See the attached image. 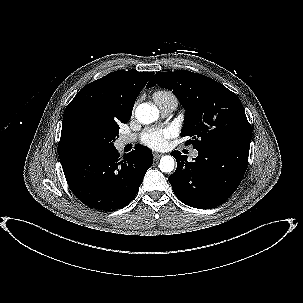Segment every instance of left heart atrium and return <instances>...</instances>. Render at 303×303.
I'll use <instances>...</instances> for the list:
<instances>
[{"label":"left heart atrium","instance_id":"obj_1","mask_svg":"<svg viewBox=\"0 0 303 303\" xmlns=\"http://www.w3.org/2000/svg\"><path fill=\"white\" fill-rule=\"evenodd\" d=\"M175 133L172 127L149 128L142 134L141 141L149 148L160 150L167 146L168 139L172 138Z\"/></svg>","mask_w":303,"mask_h":303}]
</instances>
